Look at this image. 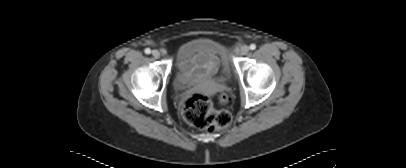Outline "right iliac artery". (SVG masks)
I'll return each instance as SVG.
<instances>
[{
    "mask_svg": "<svg viewBox=\"0 0 406 168\" xmlns=\"http://www.w3.org/2000/svg\"><path fill=\"white\" fill-rule=\"evenodd\" d=\"M145 53H146V54H150V53H151V50H150L149 48H146V49H145Z\"/></svg>",
    "mask_w": 406,
    "mask_h": 168,
    "instance_id": "1",
    "label": "right iliac artery"
}]
</instances>
